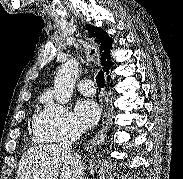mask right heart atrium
I'll return each instance as SVG.
<instances>
[{"label": "right heart atrium", "instance_id": "1", "mask_svg": "<svg viewBox=\"0 0 183 179\" xmlns=\"http://www.w3.org/2000/svg\"><path fill=\"white\" fill-rule=\"evenodd\" d=\"M35 133L51 141H59L81 130L71 111L60 104L48 101L34 123Z\"/></svg>", "mask_w": 183, "mask_h": 179}]
</instances>
